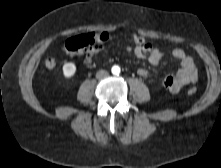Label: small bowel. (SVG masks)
<instances>
[{"label": "small bowel", "mask_w": 221, "mask_h": 168, "mask_svg": "<svg viewBox=\"0 0 221 168\" xmlns=\"http://www.w3.org/2000/svg\"><path fill=\"white\" fill-rule=\"evenodd\" d=\"M100 49L101 47H96L89 52L85 57V63L90 64L93 55ZM126 50L134 53L137 58L147 59L153 66H158L161 60L166 56L164 52L149 42L145 47L127 46ZM169 55L179 62L180 68L176 73L164 79L163 86L171 93H178L185 85L197 81L198 69L193 58L187 55L182 49H173L169 52ZM137 74L144 79L150 77V72L146 68H139Z\"/></svg>", "instance_id": "c3829d8e"}]
</instances>
